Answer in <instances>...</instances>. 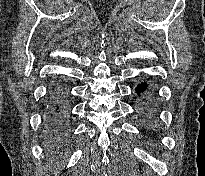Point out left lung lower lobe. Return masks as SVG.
<instances>
[{"label":"left lung lower lobe","mask_w":205,"mask_h":176,"mask_svg":"<svg viewBox=\"0 0 205 176\" xmlns=\"http://www.w3.org/2000/svg\"><path fill=\"white\" fill-rule=\"evenodd\" d=\"M148 88L149 87L146 82H142L138 84L137 87L135 88L136 93L138 94V97L143 99L144 101H146V94H147Z\"/></svg>","instance_id":"0a47b994"}]
</instances>
